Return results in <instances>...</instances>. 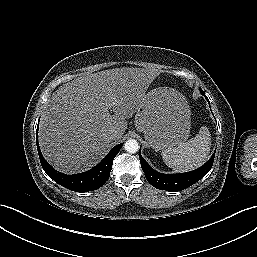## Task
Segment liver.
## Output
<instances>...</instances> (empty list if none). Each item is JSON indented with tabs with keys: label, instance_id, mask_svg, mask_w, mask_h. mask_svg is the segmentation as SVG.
<instances>
[{
	"label": "liver",
	"instance_id": "obj_1",
	"mask_svg": "<svg viewBox=\"0 0 257 257\" xmlns=\"http://www.w3.org/2000/svg\"><path fill=\"white\" fill-rule=\"evenodd\" d=\"M159 74L148 68H116L86 74L60 86L47 101L39 127L43 156L58 171L75 174L96 164L120 140L127 121ZM113 111V115L110 114Z\"/></svg>",
	"mask_w": 257,
	"mask_h": 257
}]
</instances>
